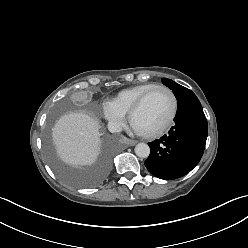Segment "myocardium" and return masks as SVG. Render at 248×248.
I'll return each instance as SVG.
<instances>
[{
  "label": "myocardium",
  "instance_id": "obj_1",
  "mask_svg": "<svg viewBox=\"0 0 248 248\" xmlns=\"http://www.w3.org/2000/svg\"><path fill=\"white\" fill-rule=\"evenodd\" d=\"M157 90H163L169 94L172 100V111L166 123L163 126H161L158 130L151 133H141L135 130L139 135L148 139H155L163 136L172 127L178 112V101L174 92L166 86L157 85L146 91L144 94H142L140 98L136 101V103L133 105V107L130 109L128 113L129 124L132 126V120L135 114L143 107L148 97Z\"/></svg>",
  "mask_w": 248,
  "mask_h": 248
}]
</instances>
